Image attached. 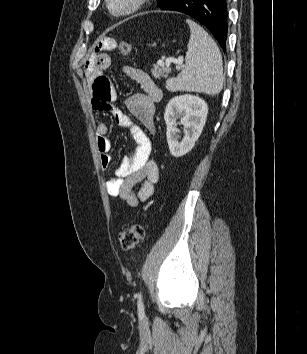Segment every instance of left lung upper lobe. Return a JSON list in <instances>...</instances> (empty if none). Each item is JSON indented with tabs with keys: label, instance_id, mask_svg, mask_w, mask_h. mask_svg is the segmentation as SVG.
<instances>
[{
	"label": "left lung upper lobe",
	"instance_id": "1",
	"mask_svg": "<svg viewBox=\"0 0 307 354\" xmlns=\"http://www.w3.org/2000/svg\"><path fill=\"white\" fill-rule=\"evenodd\" d=\"M158 1V6L162 8L165 6L170 0H157Z\"/></svg>",
	"mask_w": 307,
	"mask_h": 354
}]
</instances>
